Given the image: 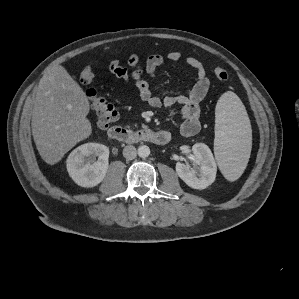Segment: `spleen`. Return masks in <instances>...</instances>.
<instances>
[{
    "label": "spleen",
    "mask_w": 299,
    "mask_h": 299,
    "mask_svg": "<svg viewBox=\"0 0 299 299\" xmlns=\"http://www.w3.org/2000/svg\"><path fill=\"white\" fill-rule=\"evenodd\" d=\"M250 120L240 98L228 91L215 108L214 154L217 164L229 181L244 172L252 145Z\"/></svg>",
    "instance_id": "obj_1"
}]
</instances>
